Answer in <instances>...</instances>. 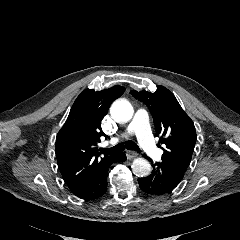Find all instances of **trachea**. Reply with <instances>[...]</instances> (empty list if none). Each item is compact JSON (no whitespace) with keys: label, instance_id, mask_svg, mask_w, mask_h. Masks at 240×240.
Wrapping results in <instances>:
<instances>
[{"label":"trachea","instance_id":"1","mask_svg":"<svg viewBox=\"0 0 240 240\" xmlns=\"http://www.w3.org/2000/svg\"><path fill=\"white\" fill-rule=\"evenodd\" d=\"M125 147L127 149H131V150H136V151H139V147L136 143L132 142V141H128L124 144H118L112 148H109V149H101V153L105 154V155H111V154H114V153H117V152H120V151H123L125 149Z\"/></svg>","mask_w":240,"mask_h":240}]
</instances>
